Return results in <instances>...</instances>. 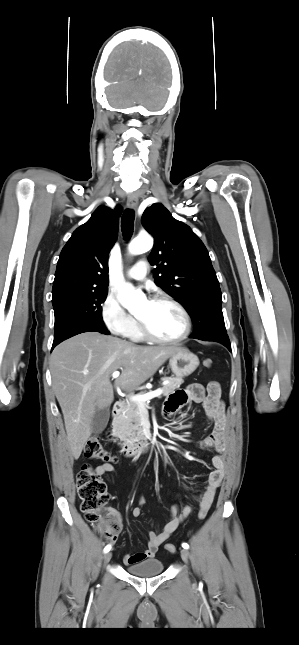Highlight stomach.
I'll list each match as a JSON object with an SVG mask.
<instances>
[{
	"label": "stomach",
	"instance_id": "stomach-1",
	"mask_svg": "<svg viewBox=\"0 0 299 645\" xmlns=\"http://www.w3.org/2000/svg\"><path fill=\"white\" fill-rule=\"evenodd\" d=\"M169 365L172 372L177 377L182 378L191 375L197 369L199 359L189 350L181 349L170 357Z\"/></svg>",
	"mask_w": 299,
	"mask_h": 645
}]
</instances>
